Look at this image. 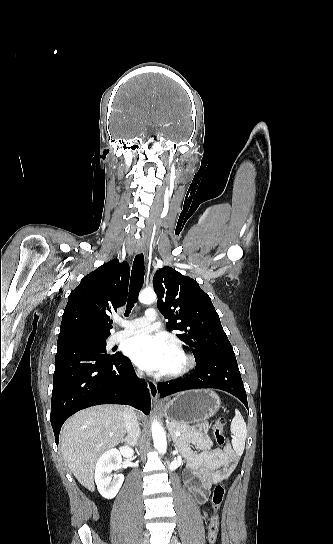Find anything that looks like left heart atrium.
<instances>
[{"label":"left heart atrium","instance_id":"obj_1","mask_svg":"<svg viewBox=\"0 0 333 544\" xmlns=\"http://www.w3.org/2000/svg\"><path fill=\"white\" fill-rule=\"evenodd\" d=\"M172 350L161 335L142 331L124 342V352L140 368L149 372H163Z\"/></svg>","mask_w":333,"mask_h":544}]
</instances>
